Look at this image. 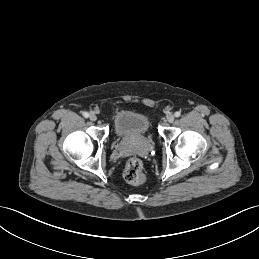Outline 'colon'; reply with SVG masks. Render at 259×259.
Here are the masks:
<instances>
[{"instance_id":"obj_1","label":"colon","mask_w":259,"mask_h":259,"mask_svg":"<svg viewBox=\"0 0 259 259\" xmlns=\"http://www.w3.org/2000/svg\"><path fill=\"white\" fill-rule=\"evenodd\" d=\"M124 179L133 185H138L144 182L145 173L142 161L139 158H130L123 171Z\"/></svg>"}]
</instances>
